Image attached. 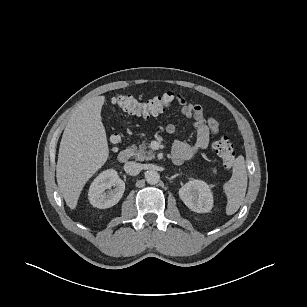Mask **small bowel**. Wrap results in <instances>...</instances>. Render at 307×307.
<instances>
[{"label":"small bowel","mask_w":307,"mask_h":307,"mask_svg":"<svg viewBox=\"0 0 307 307\" xmlns=\"http://www.w3.org/2000/svg\"><path fill=\"white\" fill-rule=\"evenodd\" d=\"M172 95L180 105L182 116L193 119V125L196 129V143L194 146L182 140H176L173 143V161L176 164H181L208 147L210 139L218 133L219 123L214 118H205L203 109L199 104L188 102L180 94L172 93ZM166 132L169 134L176 133V126L174 124H168L166 126Z\"/></svg>","instance_id":"c3829d8e"}]
</instances>
